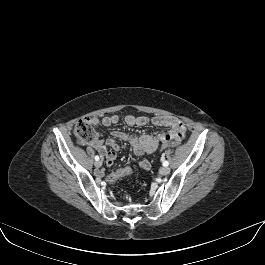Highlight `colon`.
I'll list each match as a JSON object with an SVG mask.
<instances>
[{
    "mask_svg": "<svg viewBox=\"0 0 265 265\" xmlns=\"http://www.w3.org/2000/svg\"><path fill=\"white\" fill-rule=\"evenodd\" d=\"M74 134L81 144H91L98 139V134L88 119H81L75 124ZM178 144L179 141L177 140H167L162 143L160 147L161 149H166L169 147H176ZM132 174L133 170L130 167H123L109 174L106 179L108 183L112 184L117 180Z\"/></svg>",
    "mask_w": 265,
    "mask_h": 265,
    "instance_id": "colon-1",
    "label": "colon"
}]
</instances>
